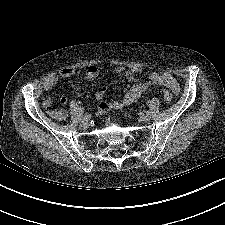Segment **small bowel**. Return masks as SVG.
I'll use <instances>...</instances> for the list:
<instances>
[{
    "mask_svg": "<svg viewBox=\"0 0 225 225\" xmlns=\"http://www.w3.org/2000/svg\"><path fill=\"white\" fill-rule=\"evenodd\" d=\"M116 73H122L124 71L123 67H116L114 69ZM141 71V67L133 66L125 72L126 78L129 81H132L135 78V75ZM74 70L70 67H65L60 70L58 74H53L48 76L42 84L44 90L52 89L58 82L60 78L62 79H69L73 77ZM99 75V70L95 65H90L86 72L85 78L87 80H95ZM150 84H157L168 87L173 93L177 94L179 92V84L177 80L168 72H161V73H152L149 76V80L145 82L135 83L131 86V88L125 93L123 98L120 101H104L103 98L106 93V89L104 87H100L94 90V97L96 100L101 101L98 114L105 113L111 109L121 110L125 107L133 104L135 101L139 99L142 93L146 90V88ZM73 87L78 90H85L88 91V88L80 86L77 83L73 84ZM62 104L67 102V97L62 96L60 98ZM43 106L47 110L48 114L55 119L61 120L65 117V112L63 110L57 109L53 107V99L48 97L44 100ZM62 111L64 115L60 113Z\"/></svg>",
    "mask_w": 225,
    "mask_h": 225,
    "instance_id": "1",
    "label": "small bowel"
}]
</instances>
